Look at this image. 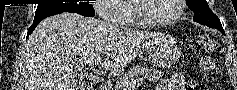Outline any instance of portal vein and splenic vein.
<instances>
[{
    "label": "portal vein and splenic vein",
    "mask_w": 237,
    "mask_h": 90,
    "mask_svg": "<svg viewBox=\"0 0 237 90\" xmlns=\"http://www.w3.org/2000/svg\"><path fill=\"white\" fill-rule=\"evenodd\" d=\"M92 64H95V62H92ZM92 78H95V80H99V78H96V76H92ZM118 86H119V84H118ZM122 86H123V88H120V86H119L120 90H130V88H131V84H130V88H128V86H124V84H122Z\"/></svg>",
    "instance_id": "portal-vein-and-splenic-vein-1"
}]
</instances>
